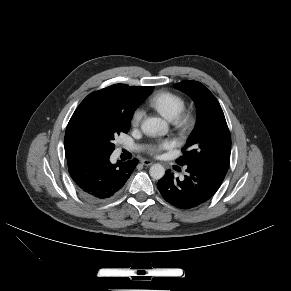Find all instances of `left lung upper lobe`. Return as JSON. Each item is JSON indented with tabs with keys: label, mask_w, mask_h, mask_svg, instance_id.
Listing matches in <instances>:
<instances>
[{
	"label": "left lung upper lobe",
	"mask_w": 291,
	"mask_h": 291,
	"mask_svg": "<svg viewBox=\"0 0 291 291\" xmlns=\"http://www.w3.org/2000/svg\"><path fill=\"white\" fill-rule=\"evenodd\" d=\"M175 87L194 100L198 112L195 129L182 149L183 156L177 159V163L201 164L227 172L231 137L219 102L200 82L187 80Z\"/></svg>",
	"instance_id": "obj_1"
}]
</instances>
